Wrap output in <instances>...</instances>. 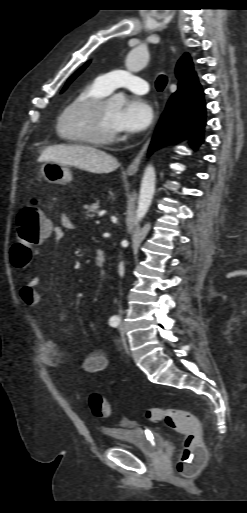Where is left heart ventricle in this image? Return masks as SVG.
I'll return each mask as SVG.
<instances>
[{
  "mask_svg": "<svg viewBox=\"0 0 247 513\" xmlns=\"http://www.w3.org/2000/svg\"><path fill=\"white\" fill-rule=\"evenodd\" d=\"M119 105L114 101H110L106 104L105 108L102 111L99 127L102 132L105 133H114L116 132L114 128V119L119 112Z\"/></svg>",
  "mask_w": 247,
  "mask_h": 513,
  "instance_id": "obj_1",
  "label": "left heart ventricle"
}]
</instances>
